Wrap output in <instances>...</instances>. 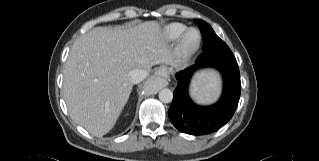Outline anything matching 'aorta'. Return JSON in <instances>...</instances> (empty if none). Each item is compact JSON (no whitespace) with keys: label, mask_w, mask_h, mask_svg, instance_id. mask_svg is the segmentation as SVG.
<instances>
[{"label":"aorta","mask_w":319,"mask_h":161,"mask_svg":"<svg viewBox=\"0 0 319 161\" xmlns=\"http://www.w3.org/2000/svg\"><path fill=\"white\" fill-rule=\"evenodd\" d=\"M159 99L161 102L163 103H169L172 101L173 99V93L170 89H162L160 92H159Z\"/></svg>","instance_id":"1"}]
</instances>
